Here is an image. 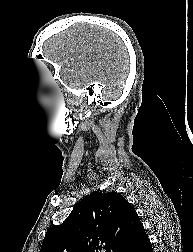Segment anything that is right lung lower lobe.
I'll return each mask as SVG.
<instances>
[{"mask_svg": "<svg viewBox=\"0 0 193 252\" xmlns=\"http://www.w3.org/2000/svg\"><path fill=\"white\" fill-rule=\"evenodd\" d=\"M123 252H153L150 240L147 237L144 228Z\"/></svg>", "mask_w": 193, "mask_h": 252, "instance_id": "1", "label": "right lung lower lobe"}]
</instances>
